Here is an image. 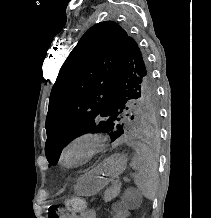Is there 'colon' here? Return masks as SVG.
<instances>
[{
    "mask_svg": "<svg viewBox=\"0 0 211 218\" xmlns=\"http://www.w3.org/2000/svg\"><path fill=\"white\" fill-rule=\"evenodd\" d=\"M69 213L79 212L84 209V201L80 198H70L66 201Z\"/></svg>",
    "mask_w": 211,
    "mask_h": 218,
    "instance_id": "obj_1",
    "label": "colon"
}]
</instances>
